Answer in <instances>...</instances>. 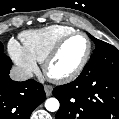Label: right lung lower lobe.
<instances>
[{
	"instance_id": "98d812e1",
	"label": "right lung lower lobe",
	"mask_w": 119,
	"mask_h": 119,
	"mask_svg": "<svg viewBox=\"0 0 119 119\" xmlns=\"http://www.w3.org/2000/svg\"><path fill=\"white\" fill-rule=\"evenodd\" d=\"M12 62L0 57V119H29L45 99L42 84L33 79L17 82L10 79Z\"/></svg>"
}]
</instances>
